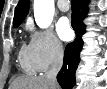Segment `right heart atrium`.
<instances>
[{"label": "right heart atrium", "mask_w": 107, "mask_h": 89, "mask_svg": "<svg viewBox=\"0 0 107 89\" xmlns=\"http://www.w3.org/2000/svg\"><path fill=\"white\" fill-rule=\"evenodd\" d=\"M29 47L37 69L45 71L63 57V46L50 29H30Z\"/></svg>", "instance_id": "1"}]
</instances>
